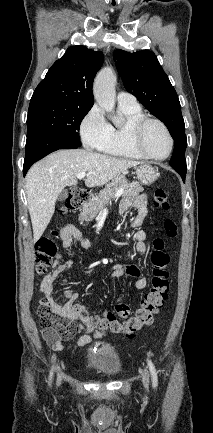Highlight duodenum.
Segmentation results:
<instances>
[{
    "label": "duodenum",
    "instance_id": "1",
    "mask_svg": "<svg viewBox=\"0 0 213 433\" xmlns=\"http://www.w3.org/2000/svg\"><path fill=\"white\" fill-rule=\"evenodd\" d=\"M89 199H90V196H89L88 200H86V201L84 202V204H86V203L89 201Z\"/></svg>",
    "mask_w": 213,
    "mask_h": 433
}]
</instances>
